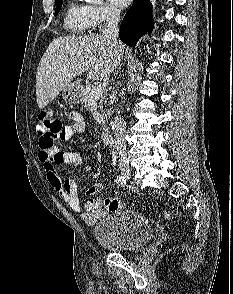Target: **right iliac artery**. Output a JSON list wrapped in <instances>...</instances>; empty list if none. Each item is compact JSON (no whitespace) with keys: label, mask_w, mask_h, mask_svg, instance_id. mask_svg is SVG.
<instances>
[{"label":"right iliac artery","mask_w":233,"mask_h":294,"mask_svg":"<svg viewBox=\"0 0 233 294\" xmlns=\"http://www.w3.org/2000/svg\"><path fill=\"white\" fill-rule=\"evenodd\" d=\"M116 183H117L118 185L124 187V186L126 185V179H125V177L122 176V175H118V176L116 177Z\"/></svg>","instance_id":"1"}]
</instances>
